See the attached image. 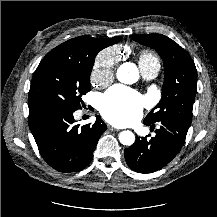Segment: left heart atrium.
<instances>
[{"label": "left heart atrium", "mask_w": 217, "mask_h": 217, "mask_svg": "<svg viewBox=\"0 0 217 217\" xmlns=\"http://www.w3.org/2000/svg\"><path fill=\"white\" fill-rule=\"evenodd\" d=\"M144 105L145 100L139 93L116 85L102 97L99 110L108 122L125 126L141 116Z\"/></svg>", "instance_id": "obj_1"}]
</instances>
